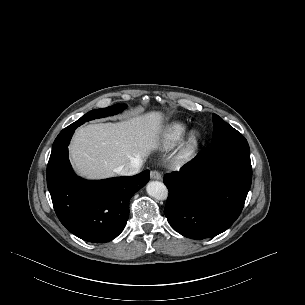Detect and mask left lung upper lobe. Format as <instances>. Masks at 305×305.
<instances>
[{
	"mask_svg": "<svg viewBox=\"0 0 305 305\" xmlns=\"http://www.w3.org/2000/svg\"><path fill=\"white\" fill-rule=\"evenodd\" d=\"M213 124L214 130L211 149L241 148L250 150L247 140L242 134L216 114H213Z\"/></svg>",
	"mask_w": 305,
	"mask_h": 305,
	"instance_id": "obj_1",
	"label": "left lung upper lobe"
}]
</instances>
